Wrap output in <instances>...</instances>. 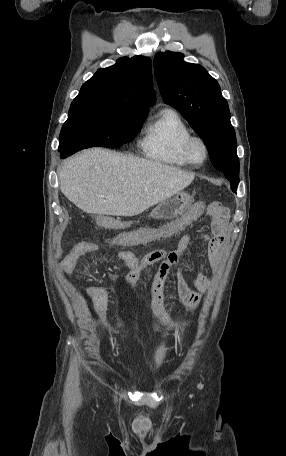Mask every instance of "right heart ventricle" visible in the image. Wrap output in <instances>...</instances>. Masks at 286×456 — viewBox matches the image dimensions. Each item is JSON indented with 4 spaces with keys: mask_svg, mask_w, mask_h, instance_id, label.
<instances>
[{
    "mask_svg": "<svg viewBox=\"0 0 286 456\" xmlns=\"http://www.w3.org/2000/svg\"><path fill=\"white\" fill-rule=\"evenodd\" d=\"M190 135L181 116L173 109H164L147 125L140 147L144 156L154 162L187 166L182 144Z\"/></svg>",
    "mask_w": 286,
    "mask_h": 456,
    "instance_id": "e07e8e85",
    "label": "right heart ventricle"
}]
</instances>
